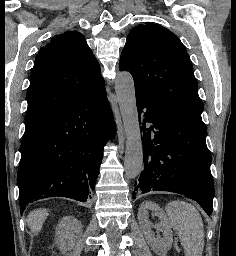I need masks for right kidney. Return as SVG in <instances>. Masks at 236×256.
<instances>
[{
    "instance_id": "1",
    "label": "right kidney",
    "mask_w": 236,
    "mask_h": 256,
    "mask_svg": "<svg viewBox=\"0 0 236 256\" xmlns=\"http://www.w3.org/2000/svg\"><path fill=\"white\" fill-rule=\"evenodd\" d=\"M83 226L73 218V216H65L56 226V244L61 250V254H66L69 250H74L77 246H81Z\"/></svg>"
}]
</instances>
